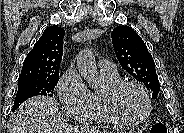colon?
Listing matches in <instances>:
<instances>
[{
	"instance_id": "colon-1",
	"label": "colon",
	"mask_w": 184,
	"mask_h": 133,
	"mask_svg": "<svg viewBox=\"0 0 184 133\" xmlns=\"http://www.w3.org/2000/svg\"><path fill=\"white\" fill-rule=\"evenodd\" d=\"M167 127L162 123H156L151 128V133H167Z\"/></svg>"
}]
</instances>
